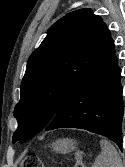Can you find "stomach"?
<instances>
[{
    "mask_svg": "<svg viewBox=\"0 0 125 167\" xmlns=\"http://www.w3.org/2000/svg\"><path fill=\"white\" fill-rule=\"evenodd\" d=\"M76 141L68 138L59 139L56 142H53L52 148L54 151L62 154L69 153L76 148Z\"/></svg>",
    "mask_w": 125,
    "mask_h": 167,
    "instance_id": "0dacf381",
    "label": "stomach"
}]
</instances>
